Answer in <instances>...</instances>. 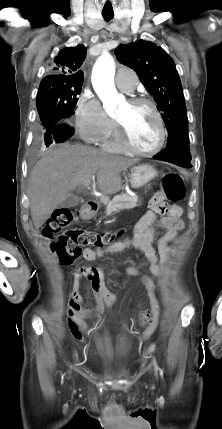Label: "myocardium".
<instances>
[{"mask_svg": "<svg viewBox=\"0 0 222 429\" xmlns=\"http://www.w3.org/2000/svg\"><path fill=\"white\" fill-rule=\"evenodd\" d=\"M128 103L131 105H144V106L149 107V109L152 111V113H153V115L157 121V124H158L159 140H158L157 145L153 149L146 150V151L140 150L132 144V142L129 139V136H128V133H127L125 126L120 121L117 120V127H118L117 133H118V137H119V140H120L122 146L127 151H129L130 153L137 155V156H141V157H150V156H154V155L158 154L165 145L167 132H166L165 122H164L163 117H162L161 113L159 112L157 106L150 99L143 98V97L130 98L128 100Z\"/></svg>", "mask_w": 222, "mask_h": 429, "instance_id": "obj_1", "label": "myocardium"}]
</instances>
